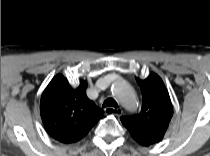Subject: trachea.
<instances>
[{
	"label": "trachea",
	"instance_id": "3493384b",
	"mask_svg": "<svg viewBox=\"0 0 210 156\" xmlns=\"http://www.w3.org/2000/svg\"><path fill=\"white\" fill-rule=\"evenodd\" d=\"M102 107H104V108H106V107H115V108H117L118 104H117V102L114 99L108 98V99H106L104 101Z\"/></svg>",
	"mask_w": 210,
	"mask_h": 156
}]
</instances>
